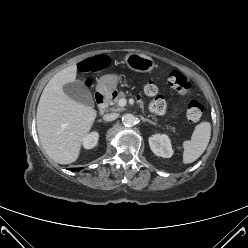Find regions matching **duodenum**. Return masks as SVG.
I'll list each match as a JSON object with an SVG mask.
<instances>
[{
	"label": "duodenum",
	"mask_w": 248,
	"mask_h": 248,
	"mask_svg": "<svg viewBox=\"0 0 248 248\" xmlns=\"http://www.w3.org/2000/svg\"><path fill=\"white\" fill-rule=\"evenodd\" d=\"M111 93L97 92L95 94V100L99 104V111L102 113L109 101L111 100Z\"/></svg>",
	"instance_id": "obj_1"
}]
</instances>
